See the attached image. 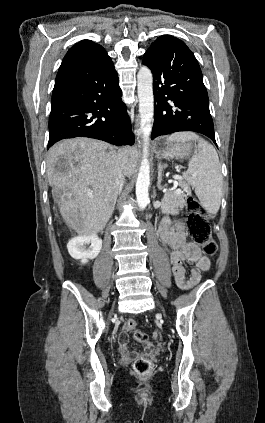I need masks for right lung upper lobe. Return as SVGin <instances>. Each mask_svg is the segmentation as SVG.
<instances>
[{
    "label": "right lung upper lobe",
    "mask_w": 265,
    "mask_h": 423,
    "mask_svg": "<svg viewBox=\"0 0 265 423\" xmlns=\"http://www.w3.org/2000/svg\"><path fill=\"white\" fill-rule=\"evenodd\" d=\"M88 60L110 61L106 51L99 45L90 40H83L69 49L65 55L61 66L69 63H77Z\"/></svg>",
    "instance_id": "1"
}]
</instances>
